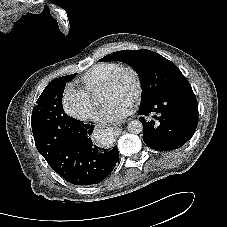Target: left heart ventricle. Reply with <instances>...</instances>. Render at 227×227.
I'll use <instances>...</instances> for the list:
<instances>
[{
	"label": "left heart ventricle",
	"mask_w": 227,
	"mask_h": 227,
	"mask_svg": "<svg viewBox=\"0 0 227 227\" xmlns=\"http://www.w3.org/2000/svg\"><path fill=\"white\" fill-rule=\"evenodd\" d=\"M134 93V80L131 74L125 73L121 76L117 84L111 88L103 89L101 97L104 102L110 100L132 101Z\"/></svg>",
	"instance_id": "left-heart-ventricle-1"
}]
</instances>
